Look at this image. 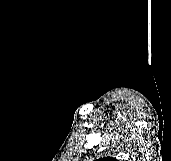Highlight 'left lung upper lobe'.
I'll use <instances>...</instances> for the list:
<instances>
[{"label":"left lung upper lobe","instance_id":"obj_1","mask_svg":"<svg viewBox=\"0 0 171 161\" xmlns=\"http://www.w3.org/2000/svg\"><path fill=\"white\" fill-rule=\"evenodd\" d=\"M96 161H118V160H116L115 158H112V157H104V158H99Z\"/></svg>","mask_w":171,"mask_h":161}]
</instances>
